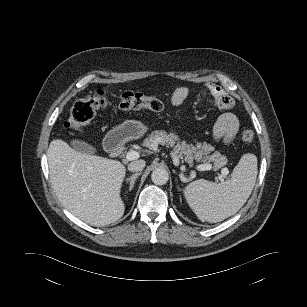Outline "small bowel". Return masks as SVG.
<instances>
[{
    "label": "small bowel",
    "instance_id": "c3829d8e",
    "mask_svg": "<svg viewBox=\"0 0 307 307\" xmlns=\"http://www.w3.org/2000/svg\"><path fill=\"white\" fill-rule=\"evenodd\" d=\"M206 89L209 91L213 104L219 109H229L232 105L231 98L223 91L221 87L214 83H205ZM190 94V89L181 86L175 89L171 96V104L178 107L184 103ZM239 129V121L237 117L230 112L222 114L214 125L212 137L217 142L225 145L230 144L235 138Z\"/></svg>",
    "mask_w": 307,
    "mask_h": 307
}]
</instances>
